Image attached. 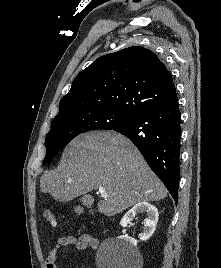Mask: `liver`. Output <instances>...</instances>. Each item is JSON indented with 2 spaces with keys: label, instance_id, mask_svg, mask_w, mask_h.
Masks as SVG:
<instances>
[{
  "label": "liver",
  "instance_id": "liver-1",
  "mask_svg": "<svg viewBox=\"0 0 221 268\" xmlns=\"http://www.w3.org/2000/svg\"><path fill=\"white\" fill-rule=\"evenodd\" d=\"M103 187L99 212L114 216L140 202L159 201L167 189L133 143L114 131L82 134L64 149L57 169L40 178V190L68 202Z\"/></svg>",
  "mask_w": 221,
  "mask_h": 268
}]
</instances>
